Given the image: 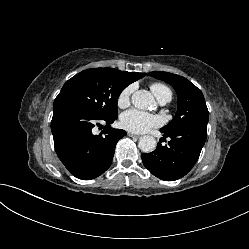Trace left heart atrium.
I'll use <instances>...</instances> for the list:
<instances>
[{"instance_id": "obj_1", "label": "left heart atrium", "mask_w": 249, "mask_h": 249, "mask_svg": "<svg viewBox=\"0 0 249 249\" xmlns=\"http://www.w3.org/2000/svg\"><path fill=\"white\" fill-rule=\"evenodd\" d=\"M121 126L131 132L143 133L161 124L158 116L143 112L138 109H131L121 116Z\"/></svg>"}]
</instances>
